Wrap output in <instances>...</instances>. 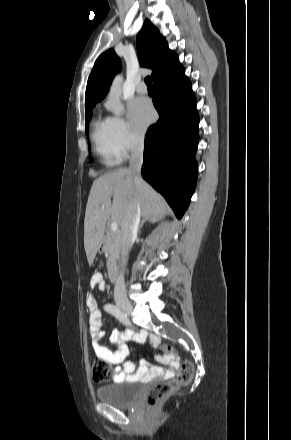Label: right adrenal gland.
Returning <instances> with one entry per match:
<instances>
[{
	"label": "right adrenal gland",
	"mask_w": 291,
	"mask_h": 440,
	"mask_svg": "<svg viewBox=\"0 0 291 440\" xmlns=\"http://www.w3.org/2000/svg\"><path fill=\"white\" fill-rule=\"evenodd\" d=\"M161 218H162L161 216H154V217H149V218H143L141 223H140V225H139L138 230H140L142 228V226L144 225L145 222L155 223V222L161 220Z\"/></svg>",
	"instance_id": "obj_1"
}]
</instances>
